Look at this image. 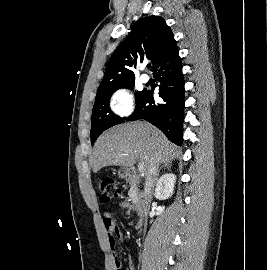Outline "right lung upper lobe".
<instances>
[{"label":"right lung upper lobe","instance_id":"right-lung-upper-lobe-1","mask_svg":"<svg viewBox=\"0 0 267 270\" xmlns=\"http://www.w3.org/2000/svg\"><path fill=\"white\" fill-rule=\"evenodd\" d=\"M175 44L172 31L162 17L149 16L138 20L111 56L98 91L134 81V69L145 58L151 60V70L154 71L159 60Z\"/></svg>","mask_w":267,"mask_h":270}]
</instances>
